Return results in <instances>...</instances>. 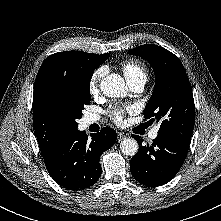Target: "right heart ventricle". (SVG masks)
I'll use <instances>...</instances> for the list:
<instances>
[{
	"instance_id": "obj_1",
	"label": "right heart ventricle",
	"mask_w": 221,
	"mask_h": 221,
	"mask_svg": "<svg viewBox=\"0 0 221 221\" xmlns=\"http://www.w3.org/2000/svg\"><path fill=\"white\" fill-rule=\"evenodd\" d=\"M120 68L123 71L128 83L146 82L148 79V69L138 58H128L121 62Z\"/></svg>"
}]
</instances>
